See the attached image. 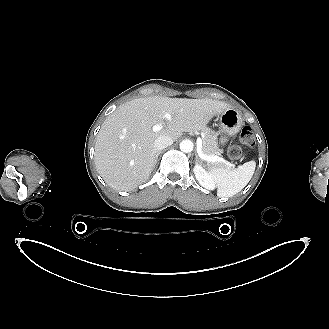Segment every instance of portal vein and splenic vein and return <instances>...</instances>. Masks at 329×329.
I'll list each match as a JSON object with an SVG mask.
<instances>
[{"instance_id":"18ae733b","label":"portal vein and splenic vein","mask_w":329,"mask_h":329,"mask_svg":"<svg viewBox=\"0 0 329 329\" xmlns=\"http://www.w3.org/2000/svg\"><path fill=\"white\" fill-rule=\"evenodd\" d=\"M165 118H166L167 120H170V119H171V115H170L169 113H165ZM161 129H163V125H162V124H156V125H154V126L152 127V130H153L154 132H158V131H160ZM202 144H203L202 139H201V138H198V139H197V153L199 154V156H200L203 160L208 161V162H212V163H214V162H221V163L226 164V165L229 166V167L233 166L230 162L224 160L223 158H221V157H219V156H217V155H214V156H207V155L203 154V152H202V147H203V145H202Z\"/></svg>"}]
</instances>
